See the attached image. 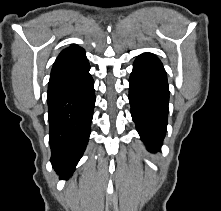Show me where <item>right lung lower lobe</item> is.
Masks as SVG:
<instances>
[{"mask_svg":"<svg viewBox=\"0 0 221 211\" xmlns=\"http://www.w3.org/2000/svg\"><path fill=\"white\" fill-rule=\"evenodd\" d=\"M89 70L87 64L49 80L50 161L62 177L72 175L89 140L95 104L94 81Z\"/></svg>","mask_w":221,"mask_h":211,"instance_id":"98d812e1","label":"right lung lower lobe"}]
</instances>
